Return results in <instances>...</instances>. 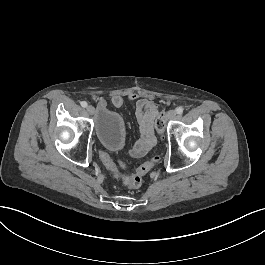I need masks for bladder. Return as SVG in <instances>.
<instances>
[{
  "label": "bladder",
  "instance_id": "1",
  "mask_svg": "<svg viewBox=\"0 0 265 265\" xmlns=\"http://www.w3.org/2000/svg\"><path fill=\"white\" fill-rule=\"evenodd\" d=\"M96 135L104 148L110 151L122 149L126 142V125L122 115L109 109L101 111L97 118Z\"/></svg>",
  "mask_w": 265,
  "mask_h": 265
}]
</instances>
